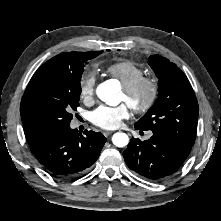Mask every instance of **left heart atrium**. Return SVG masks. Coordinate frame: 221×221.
I'll return each mask as SVG.
<instances>
[{
	"label": "left heart atrium",
	"instance_id": "obj_1",
	"mask_svg": "<svg viewBox=\"0 0 221 221\" xmlns=\"http://www.w3.org/2000/svg\"><path fill=\"white\" fill-rule=\"evenodd\" d=\"M130 116V105L125 102L118 106L101 105L91 113V121L103 129H115Z\"/></svg>",
	"mask_w": 221,
	"mask_h": 221
}]
</instances>
